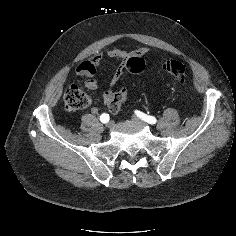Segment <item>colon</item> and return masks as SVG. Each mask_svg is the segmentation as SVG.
<instances>
[{
    "label": "colon",
    "instance_id": "5ec220e1",
    "mask_svg": "<svg viewBox=\"0 0 236 236\" xmlns=\"http://www.w3.org/2000/svg\"><path fill=\"white\" fill-rule=\"evenodd\" d=\"M127 68L131 73H141L146 68V63L142 58L131 57L127 62ZM163 69L173 77L178 83H183L186 79L185 65L177 60H168L164 63ZM128 94L126 88L113 94L111 97L108 108L111 112H118ZM64 104L68 111H77L88 106L89 98L87 94L76 85L67 87L64 93Z\"/></svg>",
    "mask_w": 236,
    "mask_h": 236
}]
</instances>
